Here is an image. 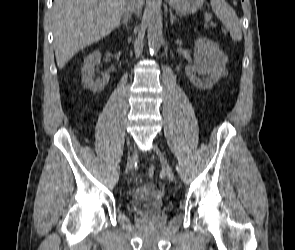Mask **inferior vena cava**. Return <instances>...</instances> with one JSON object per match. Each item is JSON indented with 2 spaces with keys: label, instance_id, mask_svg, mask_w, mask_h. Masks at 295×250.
<instances>
[{
  "label": "inferior vena cava",
  "instance_id": "1",
  "mask_svg": "<svg viewBox=\"0 0 295 250\" xmlns=\"http://www.w3.org/2000/svg\"><path fill=\"white\" fill-rule=\"evenodd\" d=\"M140 2L141 0H129L127 2V5L124 8V12H123L124 16L128 15L131 17L132 13L139 15L142 8L140 5Z\"/></svg>",
  "mask_w": 295,
  "mask_h": 250
}]
</instances>
